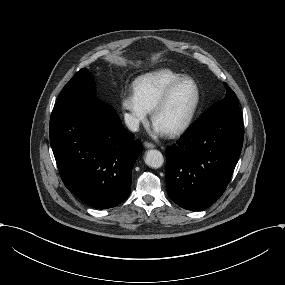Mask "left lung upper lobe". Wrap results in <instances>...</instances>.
I'll use <instances>...</instances> for the list:
<instances>
[{
    "label": "left lung upper lobe",
    "instance_id": "5c2ea615",
    "mask_svg": "<svg viewBox=\"0 0 285 285\" xmlns=\"http://www.w3.org/2000/svg\"><path fill=\"white\" fill-rule=\"evenodd\" d=\"M224 85L226 88L225 97L221 101L214 103L204 114H206V113H208L214 109L220 108V107H225V106H230V105H238V100H237L235 93L232 91V89L226 83H224Z\"/></svg>",
    "mask_w": 285,
    "mask_h": 285
}]
</instances>
